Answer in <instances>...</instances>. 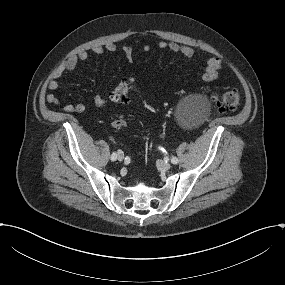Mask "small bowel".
Returning <instances> with one entry per match:
<instances>
[{
    "label": "small bowel",
    "mask_w": 285,
    "mask_h": 285,
    "mask_svg": "<svg viewBox=\"0 0 285 285\" xmlns=\"http://www.w3.org/2000/svg\"><path fill=\"white\" fill-rule=\"evenodd\" d=\"M158 49L169 50L174 54H180L188 60H193L195 58V51L192 47L179 45L174 42L161 41L157 45ZM119 50L118 46L113 42H108L104 45H95L91 47L90 51L96 55H102L104 53L115 54ZM126 59L131 62L133 59V49L129 45H124L121 48ZM150 50L149 46H144L143 51L148 52ZM88 52L80 51L69 56L65 59L50 75L48 81V88L51 93L46 95V101L54 105H60L61 102L59 98L54 94L59 89V80L67 72L74 71L80 62L87 60ZM222 69V61L218 57H211L207 60L205 69L199 79V82H210L216 79ZM95 105L102 109L108 104L107 99L97 95L94 99ZM62 109L66 112L72 113H82L85 111L86 107L83 103L66 104L62 106Z\"/></svg>",
    "instance_id": "1"
}]
</instances>
